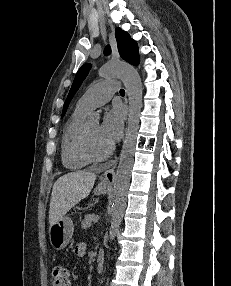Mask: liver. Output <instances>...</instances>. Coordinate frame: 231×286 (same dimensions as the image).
I'll return each instance as SVG.
<instances>
[{
	"instance_id": "obj_1",
	"label": "liver",
	"mask_w": 231,
	"mask_h": 286,
	"mask_svg": "<svg viewBox=\"0 0 231 286\" xmlns=\"http://www.w3.org/2000/svg\"><path fill=\"white\" fill-rule=\"evenodd\" d=\"M96 175L87 171L70 172L61 176L53 185L50 207V225L59 221L91 192Z\"/></svg>"
}]
</instances>
